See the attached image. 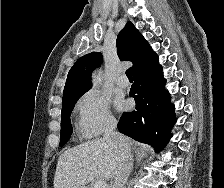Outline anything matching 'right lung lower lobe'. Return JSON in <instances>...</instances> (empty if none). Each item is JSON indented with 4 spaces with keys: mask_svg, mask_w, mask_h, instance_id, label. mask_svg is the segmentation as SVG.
<instances>
[{
    "mask_svg": "<svg viewBox=\"0 0 224 188\" xmlns=\"http://www.w3.org/2000/svg\"><path fill=\"white\" fill-rule=\"evenodd\" d=\"M133 78L129 96L134 97L136 108L123 113L118 130L160 151L172 136L170 131L176 118L169 92L164 89L165 79L158 59L133 74Z\"/></svg>",
    "mask_w": 224,
    "mask_h": 188,
    "instance_id": "1",
    "label": "right lung lower lobe"
}]
</instances>
